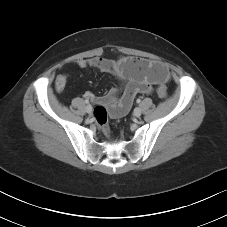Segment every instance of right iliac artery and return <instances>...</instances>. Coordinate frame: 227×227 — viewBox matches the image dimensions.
<instances>
[{
  "label": "right iliac artery",
  "instance_id": "1",
  "mask_svg": "<svg viewBox=\"0 0 227 227\" xmlns=\"http://www.w3.org/2000/svg\"><path fill=\"white\" fill-rule=\"evenodd\" d=\"M84 102H85L86 104H89V100H87V99H86Z\"/></svg>",
  "mask_w": 227,
  "mask_h": 227
}]
</instances>
